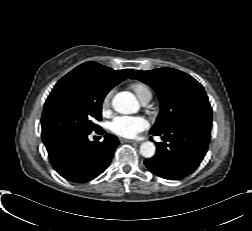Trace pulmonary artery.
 I'll return each mask as SVG.
<instances>
[{
  "mask_svg": "<svg viewBox=\"0 0 252 231\" xmlns=\"http://www.w3.org/2000/svg\"><path fill=\"white\" fill-rule=\"evenodd\" d=\"M149 101H150L149 99H145L144 101H142V103L146 105Z\"/></svg>",
  "mask_w": 252,
  "mask_h": 231,
  "instance_id": "1",
  "label": "pulmonary artery"
}]
</instances>
